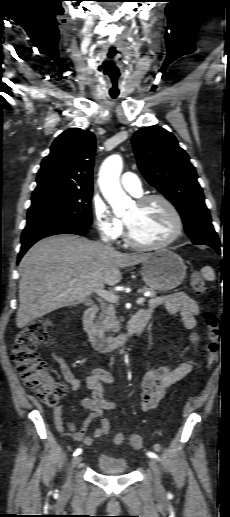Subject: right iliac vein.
Instances as JSON below:
<instances>
[{"instance_id":"right-iliac-vein-1","label":"right iliac vein","mask_w":230,"mask_h":517,"mask_svg":"<svg viewBox=\"0 0 230 517\" xmlns=\"http://www.w3.org/2000/svg\"><path fill=\"white\" fill-rule=\"evenodd\" d=\"M81 461H82V456L81 455L74 457L73 460H72L71 469H74L75 467L79 466ZM70 486H71V481H70V478H69L67 483H66V488L68 489V488H70Z\"/></svg>"}]
</instances>
